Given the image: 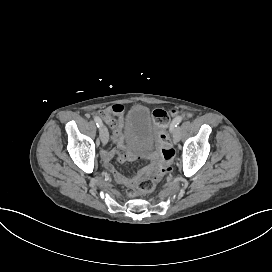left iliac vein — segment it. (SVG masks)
I'll use <instances>...</instances> for the list:
<instances>
[{
    "instance_id": "obj_1",
    "label": "left iliac vein",
    "mask_w": 272,
    "mask_h": 272,
    "mask_svg": "<svg viewBox=\"0 0 272 272\" xmlns=\"http://www.w3.org/2000/svg\"><path fill=\"white\" fill-rule=\"evenodd\" d=\"M173 137L176 141H178L180 139V132H179V128H175L174 132H173Z\"/></svg>"
}]
</instances>
